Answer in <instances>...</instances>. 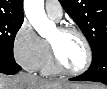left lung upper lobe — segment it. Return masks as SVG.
Segmentation results:
<instances>
[{"label":"left lung upper lobe","instance_id":"left-lung-upper-lobe-1","mask_svg":"<svg viewBox=\"0 0 107 89\" xmlns=\"http://www.w3.org/2000/svg\"><path fill=\"white\" fill-rule=\"evenodd\" d=\"M90 43L92 52L107 44V0H59Z\"/></svg>","mask_w":107,"mask_h":89}]
</instances>
